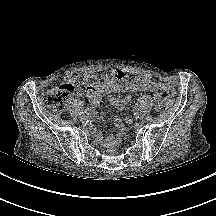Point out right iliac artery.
<instances>
[{
	"instance_id": "82829eb1",
	"label": "right iliac artery",
	"mask_w": 216,
	"mask_h": 216,
	"mask_svg": "<svg viewBox=\"0 0 216 216\" xmlns=\"http://www.w3.org/2000/svg\"><path fill=\"white\" fill-rule=\"evenodd\" d=\"M88 111H89L88 109H84L81 113L86 114V113H88Z\"/></svg>"
}]
</instances>
